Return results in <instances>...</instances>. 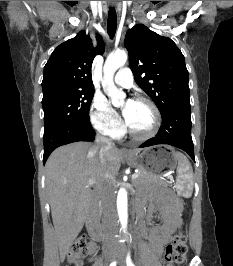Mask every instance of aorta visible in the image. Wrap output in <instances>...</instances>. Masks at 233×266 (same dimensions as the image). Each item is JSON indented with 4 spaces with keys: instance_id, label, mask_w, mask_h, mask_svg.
<instances>
[{
    "instance_id": "aorta-1",
    "label": "aorta",
    "mask_w": 233,
    "mask_h": 266,
    "mask_svg": "<svg viewBox=\"0 0 233 266\" xmlns=\"http://www.w3.org/2000/svg\"><path fill=\"white\" fill-rule=\"evenodd\" d=\"M127 53L123 50L117 51L107 57L104 68H103V80L102 87L104 92L110 97L111 102L114 106H119L124 98L125 94L118 90L114 84L113 77L115 72L123 66L127 61ZM117 210L118 216L121 223V227L125 232L127 229L128 222V209H127V191L121 188L117 195Z\"/></svg>"
}]
</instances>
